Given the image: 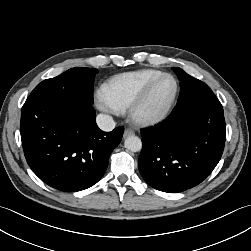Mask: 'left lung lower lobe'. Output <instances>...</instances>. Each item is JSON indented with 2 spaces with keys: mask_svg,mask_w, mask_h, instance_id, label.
Instances as JSON below:
<instances>
[{
  "mask_svg": "<svg viewBox=\"0 0 251 251\" xmlns=\"http://www.w3.org/2000/svg\"><path fill=\"white\" fill-rule=\"evenodd\" d=\"M223 107L206 84L179 94L169 117L141 132L139 171L153 188L176 193L205 180L225 145Z\"/></svg>",
  "mask_w": 251,
  "mask_h": 251,
  "instance_id": "left-lung-lower-lobe-1",
  "label": "left lung lower lobe"
}]
</instances>
